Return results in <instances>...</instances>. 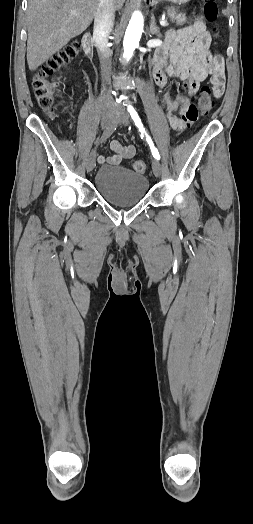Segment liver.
I'll list each match as a JSON object with an SVG mask.
<instances>
[{
    "instance_id": "liver-1",
    "label": "liver",
    "mask_w": 253,
    "mask_h": 524,
    "mask_svg": "<svg viewBox=\"0 0 253 524\" xmlns=\"http://www.w3.org/2000/svg\"><path fill=\"white\" fill-rule=\"evenodd\" d=\"M125 0H113L120 10ZM99 0H28L27 62L31 71L83 33L95 17ZM76 12L77 15H73Z\"/></svg>"
}]
</instances>
